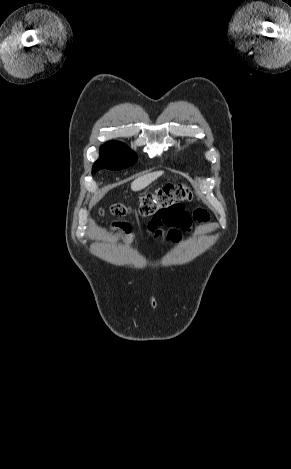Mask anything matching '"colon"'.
I'll return each mask as SVG.
<instances>
[{
    "instance_id": "5ec220e1",
    "label": "colon",
    "mask_w": 291,
    "mask_h": 469,
    "mask_svg": "<svg viewBox=\"0 0 291 469\" xmlns=\"http://www.w3.org/2000/svg\"><path fill=\"white\" fill-rule=\"evenodd\" d=\"M192 198L190 189L184 185H166L154 193L143 195L137 204L136 212L143 217H155L163 211L179 207V203ZM112 214L125 216L131 208L123 203L113 204L110 208ZM205 212L198 211V214Z\"/></svg>"
}]
</instances>
